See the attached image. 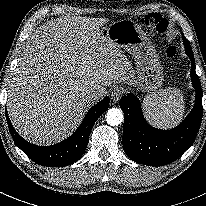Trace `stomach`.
<instances>
[{"instance_id": "0dacf381", "label": "stomach", "mask_w": 206, "mask_h": 206, "mask_svg": "<svg viewBox=\"0 0 206 206\" xmlns=\"http://www.w3.org/2000/svg\"><path fill=\"white\" fill-rule=\"evenodd\" d=\"M106 36L135 61L133 86L140 92L153 93L163 83V67L155 47L142 27L131 19L118 20L106 28Z\"/></svg>"}]
</instances>
